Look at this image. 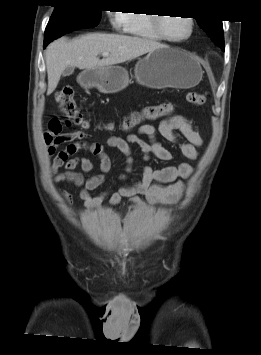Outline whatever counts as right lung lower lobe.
Here are the masks:
<instances>
[{"mask_svg":"<svg viewBox=\"0 0 261 355\" xmlns=\"http://www.w3.org/2000/svg\"><path fill=\"white\" fill-rule=\"evenodd\" d=\"M79 28H66V29H62V30H59L57 32H54L48 36H44V48L52 41V40H55L56 38L66 34V33H69L71 31H74V30H77Z\"/></svg>","mask_w":261,"mask_h":355,"instance_id":"98d812e1","label":"right lung lower lobe"}]
</instances>
